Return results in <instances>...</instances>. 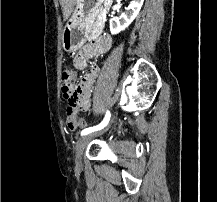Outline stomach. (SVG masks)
I'll list each match as a JSON object with an SVG mask.
<instances>
[{
    "label": "stomach",
    "mask_w": 217,
    "mask_h": 202,
    "mask_svg": "<svg viewBox=\"0 0 217 202\" xmlns=\"http://www.w3.org/2000/svg\"><path fill=\"white\" fill-rule=\"evenodd\" d=\"M101 0H76L74 12L62 34L65 52H76L86 44L99 12Z\"/></svg>",
    "instance_id": "1"
}]
</instances>
